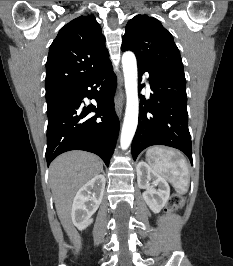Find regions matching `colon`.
Masks as SVG:
<instances>
[{"instance_id":"obj_1","label":"colon","mask_w":233,"mask_h":266,"mask_svg":"<svg viewBox=\"0 0 233 266\" xmlns=\"http://www.w3.org/2000/svg\"><path fill=\"white\" fill-rule=\"evenodd\" d=\"M184 204V198L180 194H172L168 200L167 211L173 212L181 208Z\"/></svg>"}]
</instances>
